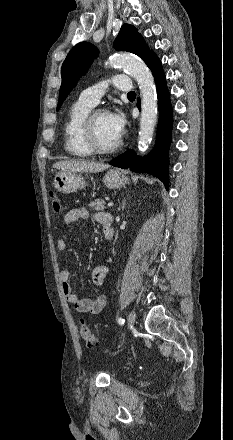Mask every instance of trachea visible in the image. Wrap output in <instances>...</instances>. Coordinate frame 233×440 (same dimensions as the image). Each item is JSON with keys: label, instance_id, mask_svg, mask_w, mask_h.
<instances>
[{"label": "trachea", "instance_id": "obj_1", "mask_svg": "<svg viewBox=\"0 0 233 440\" xmlns=\"http://www.w3.org/2000/svg\"><path fill=\"white\" fill-rule=\"evenodd\" d=\"M127 96L128 97H134V96H136V93L134 91H131V92L128 93Z\"/></svg>", "mask_w": 233, "mask_h": 440}]
</instances>
